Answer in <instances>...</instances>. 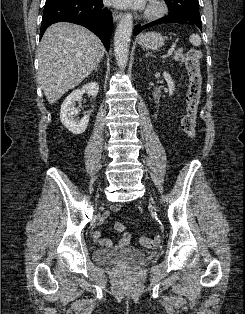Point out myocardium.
<instances>
[{
	"instance_id": "f54148a6",
	"label": "myocardium",
	"mask_w": 245,
	"mask_h": 314,
	"mask_svg": "<svg viewBox=\"0 0 245 314\" xmlns=\"http://www.w3.org/2000/svg\"><path fill=\"white\" fill-rule=\"evenodd\" d=\"M167 12V5L162 0H150L144 10V17L147 19H157Z\"/></svg>"
}]
</instances>
